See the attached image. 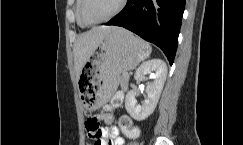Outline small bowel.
<instances>
[{
	"label": "small bowel",
	"mask_w": 243,
	"mask_h": 145,
	"mask_svg": "<svg viewBox=\"0 0 243 145\" xmlns=\"http://www.w3.org/2000/svg\"><path fill=\"white\" fill-rule=\"evenodd\" d=\"M97 118L104 121L107 126L100 128V135L98 138L88 134V136L94 140L93 145H124L125 141L119 135L118 127L112 125L113 116L110 114H101Z\"/></svg>",
	"instance_id": "1"
}]
</instances>
